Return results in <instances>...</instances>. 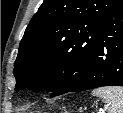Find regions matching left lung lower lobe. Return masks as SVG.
I'll return each instance as SVG.
<instances>
[{
	"label": "left lung lower lobe",
	"instance_id": "obj_1",
	"mask_svg": "<svg viewBox=\"0 0 123 113\" xmlns=\"http://www.w3.org/2000/svg\"><path fill=\"white\" fill-rule=\"evenodd\" d=\"M102 86H123V0H116L103 17L82 80L64 93Z\"/></svg>",
	"mask_w": 123,
	"mask_h": 113
}]
</instances>
